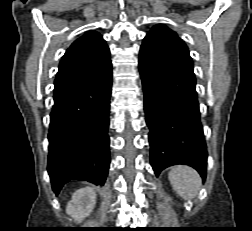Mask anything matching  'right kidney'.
I'll return each mask as SVG.
<instances>
[{
	"label": "right kidney",
	"mask_w": 252,
	"mask_h": 231,
	"mask_svg": "<svg viewBox=\"0 0 252 231\" xmlns=\"http://www.w3.org/2000/svg\"><path fill=\"white\" fill-rule=\"evenodd\" d=\"M96 203V193L94 188L85 187L77 190L72 199L68 202L66 212L75 221L81 222L93 210Z\"/></svg>",
	"instance_id": "1"
}]
</instances>
